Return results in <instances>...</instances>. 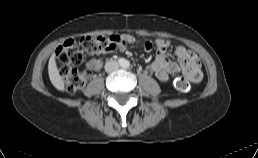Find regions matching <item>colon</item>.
I'll use <instances>...</instances> for the list:
<instances>
[{
  "mask_svg": "<svg viewBox=\"0 0 258 158\" xmlns=\"http://www.w3.org/2000/svg\"><path fill=\"white\" fill-rule=\"evenodd\" d=\"M124 43H127V40L117 35L85 36L78 42L67 40L56 52L60 62L59 75L64 80L66 90L74 93L81 91L86 85L90 73L76 68L84 60L83 52L88 56L113 52ZM176 87L182 92L191 90V84L186 78H179L176 81Z\"/></svg>",
  "mask_w": 258,
  "mask_h": 158,
  "instance_id": "obj_1",
  "label": "colon"
}]
</instances>
